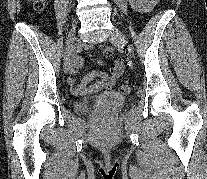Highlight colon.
Segmentation results:
<instances>
[{
    "label": "colon",
    "mask_w": 207,
    "mask_h": 179,
    "mask_svg": "<svg viewBox=\"0 0 207 179\" xmlns=\"http://www.w3.org/2000/svg\"><path fill=\"white\" fill-rule=\"evenodd\" d=\"M30 2H31L35 11L41 12L45 7L46 0H30ZM120 92L123 94H128L130 92L129 84L126 82L123 83L120 86Z\"/></svg>",
    "instance_id": "obj_1"
}]
</instances>
